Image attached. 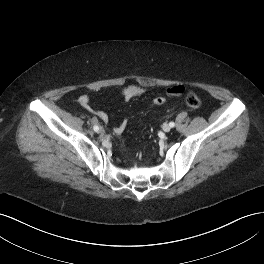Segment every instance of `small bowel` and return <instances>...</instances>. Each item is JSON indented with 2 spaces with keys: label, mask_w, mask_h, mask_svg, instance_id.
I'll return each mask as SVG.
<instances>
[{
  "label": "small bowel",
  "mask_w": 264,
  "mask_h": 264,
  "mask_svg": "<svg viewBox=\"0 0 264 264\" xmlns=\"http://www.w3.org/2000/svg\"><path fill=\"white\" fill-rule=\"evenodd\" d=\"M184 91H185V87L183 85L176 84V85L170 86L166 90V93L168 96L174 97V96L181 95ZM145 93H146V89L144 87L137 86V85H127L121 89V96H122L124 101H128L132 98L142 96ZM78 104L83 109H85L86 111L95 115L102 122H104V123L108 122L109 117H108V114L106 112H104L102 110L94 109L90 106V98L88 95L83 94V95L79 96ZM126 123L127 122L124 121L122 123V125L119 126L118 128H116L115 130L117 132L122 131L125 128Z\"/></svg>",
  "instance_id": "obj_1"
}]
</instances>
